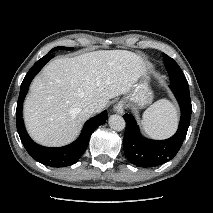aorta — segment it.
Here are the masks:
<instances>
[{
    "instance_id": "762f6f07",
    "label": "aorta",
    "mask_w": 213,
    "mask_h": 213,
    "mask_svg": "<svg viewBox=\"0 0 213 213\" xmlns=\"http://www.w3.org/2000/svg\"><path fill=\"white\" fill-rule=\"evenodd\" d=\"M125 120L120 115H112L109 118V126L116 131H122L125 128Z\"/></svg>"
}]
</instances>
